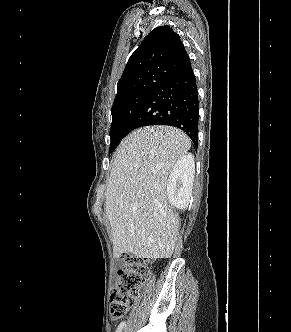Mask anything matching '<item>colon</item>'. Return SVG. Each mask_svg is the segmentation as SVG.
Returning a JSON list of instances; mask_svg holds the SVG:
<instances>
[{"label":"colon","instance_id":"5ec220e1","mask_svg":"<svg viewBox=\"0 0 291 332\" xmlns=\"http://www.w3.org/2000/svg\"><path fill=\"white\" fill-rule=\"evenodd\" d=\"M147 271L142 257L130 254L122 256V265L116 273L110 296L113 317L123 316L133 305L144 284Z\"/></svg>","mask_w":291,"mask_h":332}]
</instances>
